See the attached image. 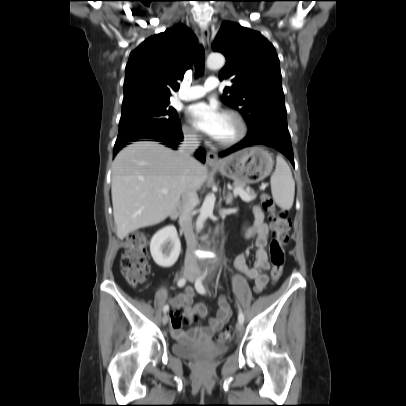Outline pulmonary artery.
<instances>
[{"label": "pulmonary artery", "instance_id": "1", "mask_svg": "<svg viewBox=\"0 0 406 406\" xmlns=\"http://www.w3.org/2000/svg\"><path fill=\"white\" fill-rule=\"evenodd\" d=\"M218 87V79L209 77L203 85H196L188 88L183 94L182 99L185 101H192L203 97L208 91L214 90Z\"/></svg>", "mask_w": 406, "mask_h": 406}]
</instances>
